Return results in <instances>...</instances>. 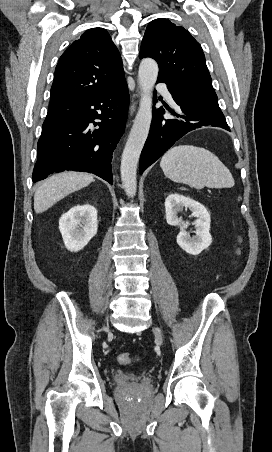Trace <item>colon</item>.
<instances>
[{
    "label": "colon",
    "instance_id": "5ec220e1",
    "mask_svg": "<svg viewBox=\"0 0 272 452\" xmlns=\"http://www.w3.org/2000/svg\"><path fill=\"white\" fill-rule=\"evenodd\" d=\"M135 358L129 353H122L118 356V362L122 365H131Z\"/></svg>",
    "mask_w": 272,
    "mask_h": 452
}]
</instances>
